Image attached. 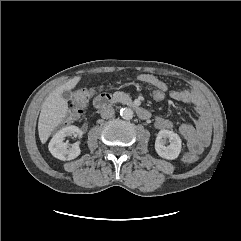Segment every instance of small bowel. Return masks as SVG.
I'll return each instance as SVG.
<instances>
[{
  "mask_svg": "<svg viewBox=\"0 0 241 241\" xmlns=\"http://www.w3.org/2000/svg\"><path fill=\"white\" fill-rule=\"evenodd\" d=\"M138 79L148 86H159L167 92L169 91L168 84L153 75L140 74ZM169 95L172 99L193 107L192 121L184 122L180 126V132L186 140L189 150L194 154L201 153L208 146L211 135L210 115L203 97L197 91L190 89H173ZM154 124L158 129H169L173 126V121L164 116H157Z\"/></svg>",
  "mask_w": 241,
  "mask_h": 241,
  "instance_id": "c3829d8e",
  "label": "small bowel"
}]
</instances>
